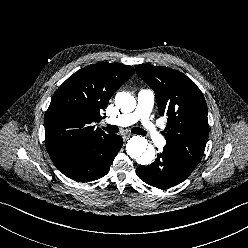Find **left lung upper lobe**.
Segmentation results:
<instances>
[{
    "instance_id": "left-lung-upper-lobe-1",
    "label": "left lung upper lobe",
    "mask_w": 248,
    "mask_h": 248,
    "mask_svg": "<svg viewBox=\"0 0 248 248\" xmlns=\"http://www.w3.org/2000/svg\"><path fill=\"white\" fill-rule=\"evenodd\" d=\"M135 69L154 90L160 115L168 117L163 150L194 169L204 154L209 131L202 92L177 70L151 65Z\"/></svg>"
}]
</instances>
